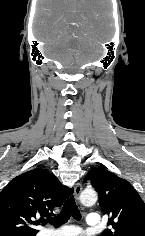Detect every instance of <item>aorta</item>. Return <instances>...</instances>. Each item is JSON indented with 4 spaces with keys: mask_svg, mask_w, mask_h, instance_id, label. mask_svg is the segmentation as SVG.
<instances>
[{
    "mask_svg": "<svg viewBox=\"0 0 145 236\" xmlns=\"http://www.w3.org/2000/svg\"><path fill=\"white\" fill-rule=\"evenodd\" d=\"M98 199L97 193L94 190H84L80 195V202L85 206H91Z\"/></svg>",
    "mask_w": 145,
    "mask_h": 236,
    "instance_id": "obj_1",
    "label": "aorta"
}]
</instances>
